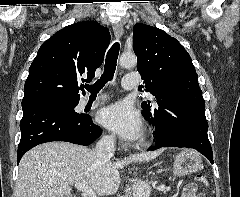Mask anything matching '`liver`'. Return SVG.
<instances>
[{
    "label": "liver",
    "instance_id": "6515ba94",
    "mask_svg": "<svg viewBox=\"0 0 240 197\" xmlns=\"http://www.w3.org/2000/svg\"><path fill=\"white\" fill-rule=\"evenodd\" d=\"M160 153H142L112 162L100 160L93 150L84 146L44 143L22 157L15 197L72 196L70 186L78 183L91 187L100 196H109L119 188V168L132 162L152 160Z\"/></svg>",
    "mask_w": 240,
    "mask_h": 197
}]
</instances>
